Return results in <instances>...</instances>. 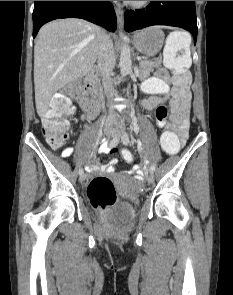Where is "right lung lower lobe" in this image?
Returning <instances> with one entry per match:
<instances>
[{"label": "right lung lower lobe", "mask_w": 233, "mask_h": 295, "mask_svg": "<svg viewBox=\"0 0 233 295\" xmlns=\"http://www.w3.org/2000/svg\"><path fill=\"white\" fill-rule=\"evenodd\" d=\"M77 17L116 30V14L109 1H35L33 38L40 27L54 19Z\"/></svg>", "instance_id": "1"}]
</instances>
